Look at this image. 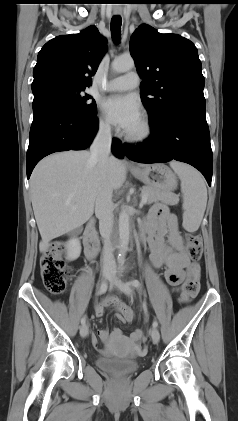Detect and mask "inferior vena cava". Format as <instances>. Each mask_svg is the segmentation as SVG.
I'll return each instance as SVG.
<instances>
[{
    "label": "inferior vena cava",
    "mask_w": 238,
    "mask_h": 421,
    "mask_svg": "<svg viewBox=\"0 0 238 421\" xmlns=\"http://www.w3.org/2000/svg\"><path fill=\"white\" fill-rule=\"evenodd\" d=\"M111 128L109 125L99 127L98 133L90 148V162L98 164L102 174L107 172L108 159L111 152ZM95 214L99 219L100 234L104 239V264H113V247L110 237L113 229L112 189L103 184L95 201Z\"/></svg>",
    "instance_id": "inferior-vena-cava-1"
}]
</instances>
